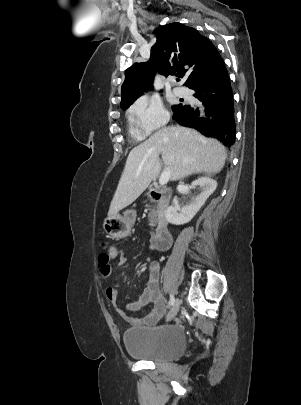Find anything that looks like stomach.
Wrapping results in <instances>:
<instances>
[{
    "mask_svg": "<svg viewBox=\"0 0 301 405\" xmlns=\"http://www.w3.org/2000/svg\"><path fill=\"white\" fill-rule=\"evenodd\" d=\"M134 218V212H126L123 215L116 214L114 217L108 216L104 220L103 229L114 239L125 238L130 234Z\"/></svg>",
    "mask_w": 301,
    "mask_h": 405,
    "instance_id": "stomach-1",
    "label": "stomach"
}]
</instances>
